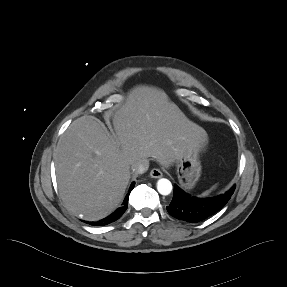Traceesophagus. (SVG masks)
I'll return each mask as SVG.
<instances>
[{"label":"esophagus","mask_w":287,"mask_h":287,"mask_svg":"<svg viewBox=\"0 0 287 287\" xmlns=\"http://www.w3.org/2000/svg\"><path fill=\"white\" fill-rule=\"evenodd\" d=\"M150 176H151L152 178H156V179H157V178L162 177V176H163V173L161 172L160 169L154 168V169L151 170Z\"/></svg>","instance_id":"esophagus-1"}]
</instances>
